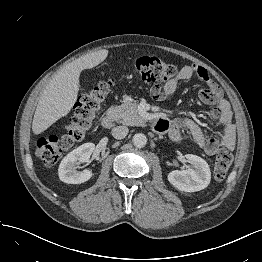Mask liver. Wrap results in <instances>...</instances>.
<instances>
[{"label": "liver", "instance_id": "1", "mask_svg": "<svg viewBox=\"0 0 262 262\" xmlns=\"http://www.w3.org/2000/svg\"><path fill=\"white\" fill-rule=\"evenodd\" d=\"M107 56L106 49L86 54L69 63L53 76L43 90L36 107L32 122L34 134H41L70 112L77 101L81 71L99 65Z\"/></svg>", "mask_w": 262, "mask_h": 262}]
</instances>
